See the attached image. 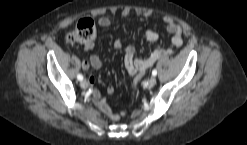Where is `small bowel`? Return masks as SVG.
Wrapping results in <instances>:
<instances>
[{
    "label": "small bowel",
    "instance_id": "obj_1",
    "mask_svg": "<svg viewBox=\"0 0 247 145\" xmlns=\"http://www.w3.org/2000/svg\"><path fill=\"white\" fill-rule=\"evenodd\" d=\"M123 15H127V12H123ZM97 23L102 28H107L111 25L110 18L102 16L97 20ZM163 23L167 31L172 35L171 44L167 48L157 46L152 54L146 59H135V48L133 45H124L120 40H115L113 46L117 50H122L124 53V62L128 74L134 76V81H138L145 75L146 71L153 66L160 58L165 55L173 53V48H178L183 44V30L180 24H178L172 17L166 16L163 18ZM146 39L150 42H156L158 40V33L153 29H148L145 33ZM94 48V43H89L84 46L85 51H90ZM102 65V60L97 55H91L89 59L82 61V68L87 72H91L94 68H99ZM88 84L91 87V99L93 104L101 111H103L108 117L114 121H119L124 116V111L114 112L107 100L101 95V93L95 89V76L90 73L88 76ZM114 91L113 86H108L107 93L111 94Z\"/></svg>",
    "mask_w": 247,
    "mask_h": 145
}]
</instances>
